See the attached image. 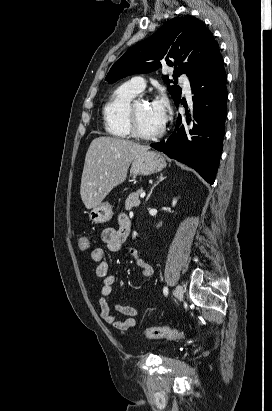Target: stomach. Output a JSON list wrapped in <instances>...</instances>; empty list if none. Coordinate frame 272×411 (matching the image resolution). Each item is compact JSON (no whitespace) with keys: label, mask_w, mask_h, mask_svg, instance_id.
<instances>
[{"label":"stomach","mask_w":272,"mask_h":411,"mask_svg":"<svg viewBox=\"0 0 272 411\" xmlns=\"http://www.w3.org/2000/svg\"><path fill=\"white\" fill-rule=\"evenodd\" d=\"M166 166L165 158L158 152L146 151L136 156L130 163V174L150 175L163 170ZM111 206L106 202L99 204L89 213L90 220L95 224H103L112 218Z\"/></svg>","instance_id":"stomach-1"}]
</instances>
